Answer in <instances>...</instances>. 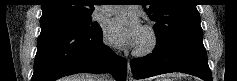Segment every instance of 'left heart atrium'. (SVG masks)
<instances>
[{
    "label": "left heart atrium",
    "mask_w": 237,
    "mask_h": 81,
    "mask_svg": "<svg viewBox=\"0 0 237 81\" xmlns=\"http://www.w3.org/2000/svg\"><path fill=\"white\" fill-rule=\"evenodd\" d=\"M143 30L139 20L124 14L113 18L106 27L105 35L108 41L120 47H135L140 42Z\"/></svg>",
    "instance_id": "1"
}]
</instances>
